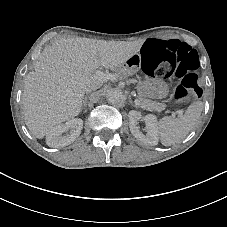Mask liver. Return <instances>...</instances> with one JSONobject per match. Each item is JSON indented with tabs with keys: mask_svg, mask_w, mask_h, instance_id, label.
<instances>
[{
	"mask_svg": "<svg viewBox=\"0 0 227 227\" xmlns=\"http://www.w3.org/2000/svg\"><path fill=\"white\" fill-rule=\"evenodd\" d=\"M143 40L105 41L60 39L46 47L24 78L22 104L28 129L37 137L82 110L88 85L104 80L95 76L100 66L117 70L138 53Z\"/></svg>",
	"mask_w": 227,
	"mask_h": 227,
	"instance_id": "6515ba94",
	"label": "liver"
}]
</instances>
